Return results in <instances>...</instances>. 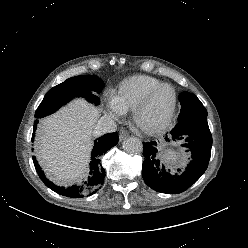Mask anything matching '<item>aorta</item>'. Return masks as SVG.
<instances>
[{"label": "aorta", "mask_w": 248, "mask_h": 248, "mask_svg": "<svg viewBox=\"0 0 248 248\" xmlns=\"http://www.w3.org/2000/svg\"><path fill=\"white\" fill-rule=\"evenodd\" d=\"M123 149L127 153L139 154L143 150L142 142L136 137H129L123 142Z\"/></svg>", "instance_id": "1"}]
</instances>
